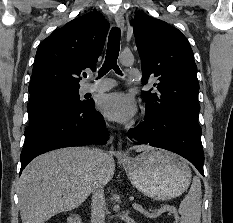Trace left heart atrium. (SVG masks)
I'll use <instances>...</instances> for the list:
<instances>
[{"label":"left heart atrium","instance_id":"39dd6f15","mask_svg":"<svg viewBox=\"0 0 233 223\" xmlns=\"http://www.w3.org/2000/svg\"><path fill=\"white\" fill-rule=\"evenodd\" d=\"M99 111L109 120L127 123L136 116L138 108L132 96L116 93L100 99Z\"/></svg>","mask_w":233,"mask_h":223}]
</instances>
